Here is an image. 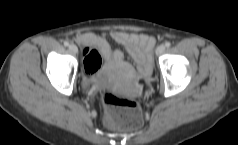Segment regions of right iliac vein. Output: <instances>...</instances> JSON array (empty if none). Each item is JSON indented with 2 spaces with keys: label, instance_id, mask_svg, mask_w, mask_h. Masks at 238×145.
Masks as SVG:
<instances>
[{
  "label": "right iliac vein",
  "instance_id": "right-iliac-vein-1",
  "mask_svg": "<svg viewBox=\"0 0 238 145\" xmlns=\"http://www.w3.org/2000/svg\"><path fill=\"white\" fill-rule=\"evenodd\" d=\"M69 49L74 54H76L78 52V48L75 44H70Z\"/></svg>",
  "mask_w": 238,
  "mask_h": 145
}]
</instances>
